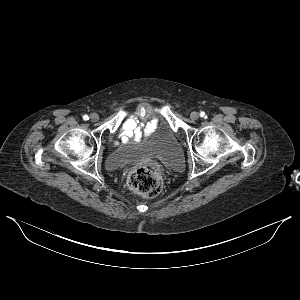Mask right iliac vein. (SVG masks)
I'll return each mask as SVG.
<instances>
[{
    "mask_svg": "<svg viewBox=\"0 0 300 300\" xmlns=\"http://www.w3.org/2000/svg\"><path fill=\"white\" fill-rule=\"evenodd\" d=\"M90 120H91L92 122H97V121L99 120V115L96 114V113H92V114L90 115Z\"/></svg>",
    "mask_w": 300,
    "mask_h": 300,
    "instance_id": "1",
    "label": "right iliac vein"
}]
</instances>
